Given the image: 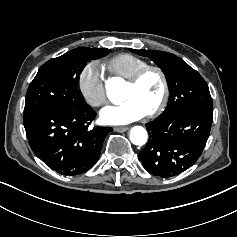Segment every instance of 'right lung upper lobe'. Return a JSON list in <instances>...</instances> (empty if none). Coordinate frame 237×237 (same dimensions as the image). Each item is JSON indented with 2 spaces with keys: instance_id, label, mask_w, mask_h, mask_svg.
I'll list each match as a JSON object with an SVG mask.
<instances>
[{
  "instance_id": "1",
  "label": "right lung upper lobe",
  "mask_w": 237,
  "mask_h": 237,
  "mask_svg": "<svg viewBox=\"0 0 237 237\" xmlns=\"http://www.w3.org/2000/svg\"><path fill=\"white\" fill-rule=\"evenodd\" d=\"M89 49H91V48H89ZM91 50H93L94 52H98V53H108L110 51L109 49H105V48H92Z\"/></svg>"
}]
</instances>
